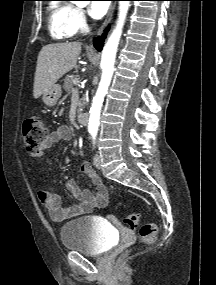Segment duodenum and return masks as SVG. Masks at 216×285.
Segmentation results:
<instances>
[{"label": "duodenum", "instance_id": "1", "mask_svg": "<svg viewBox=\"0 0 216 285\" xmlns=\"http://www.w3.org/2000/svg\"><path fill=\"white\" fill-rule=\"evenodd\" d=\"M88 120H89V117H88V114L86 112H80L78 114V122L81 125L86 126L88 124Z\"/></svg>", "mask_w": 216, "mask_h": 285}]
</instances>
